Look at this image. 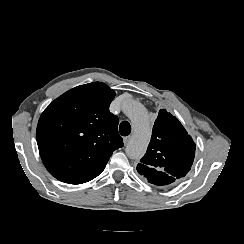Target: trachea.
Wrapping results in <instances>:
<instances>
[{
    "label": "trachea",
    "mask_w": 244,
    "mask_h": 244,
    "mask_svg": "<svg viewBox=\"0 0 244 244\" xmlns=\"http://www.w3.org/2000/svg\"><path fill=\"white\" fill-rule=\"evenodd\" d=\"M119 132L122 136H127L131 133V126L129 122L123 121L120 123Z\"/></svg>",
    "instance_id": "trachea-1"
}]
</instances>
